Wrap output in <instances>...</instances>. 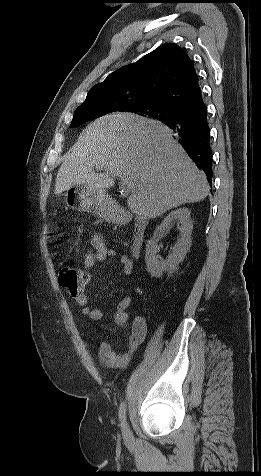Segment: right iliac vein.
Here are the masks:
<instances>
[{"mask_svg": "<svg viewBox=\"0 0 261 476\" xmlns=\"http://www.w3.org/2000/svg\"><path fill=\"white\" fill-rule=\"evenodd\" d=\"M122 432H123L125 437L130 436V430H129L128 425L126 423L124 425H122Z\"/></svg>", "mask_w": 261, "mask_h": 476, "instance_id": "obj_1", "label": "right iliac vein"}]
</instances>
